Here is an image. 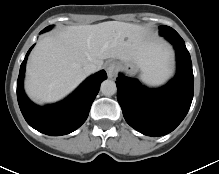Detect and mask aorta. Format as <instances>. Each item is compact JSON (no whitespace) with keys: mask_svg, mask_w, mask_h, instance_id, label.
Segmentation results:
<instances>
[{"mask_svg":"<svg viewBox=\"0 0 219 174\" xmlns=\"http://www.w3.org/2000/svg\"><path fill=\"white\" fill-rule=\"evenodd\" d=\"M100 90H101L103 95H105V96H112L117 91L116 83L113 80H109V79L104 80L101 83Z\"/></svg>","mask_w":219,"mask_h":174,"instance_id":"obj_1","label":"aorta"}]
</instances>
